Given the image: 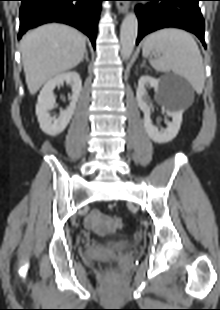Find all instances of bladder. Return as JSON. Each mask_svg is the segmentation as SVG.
Listing matches in <instances>:
<instances>
[{"instance_id": "obj_1", "label": "bladder", "mask_w": 220, "mask_h": 310, "mask_svg": "<svg viewBox=\"0 0 220 310\" xmlns=\"http://www.w3.org/2000/svg\"><path fill=\"white\" fill-rule=\"evenodd\" d=\"M132 246H133V243L130 240H124V241L111 245L109 248L115 252H121V251L129 250L130 248H132Z\"/></svg>"}]
</instances>
